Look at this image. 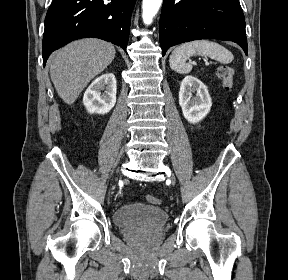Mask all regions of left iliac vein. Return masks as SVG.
I'll use <instances>...</instances> for the list:
<instances>
[{
  "label": "left iliac vein",
  "instance_id": "1",
  "mask_svg": "<svg viewBox=\"0 0 288 280\" xmlns=\"http://www.w3.org/2000/svg\"><path fill=\"white\" fill-rule=\"evenodd\" d=\"M170 179H171V181H174V177L172 176V177H170Z\"/></svg>",
  "mask_w": 288,
  "mask_h": 280
}]
</instances>
